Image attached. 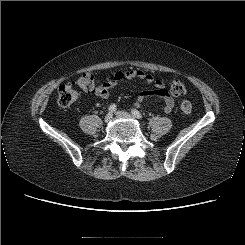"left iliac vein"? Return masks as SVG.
I'll return each instance as SVG.
<instances>
[{"label":"left iliac vein","mask_w":245,"mask_h":245,"mask_svg":"<svg viewBox=\"0 0 245 245\" xmlns=\"http://www.w3.org/2000/svg\"><path fill=\"white\" fill-rule=\"evenodd\" d=\"M116 115L119 117L132 118V115H130L129 113H127L125 111H117Z\"/></svg>","instance_id":"obj_1"}]
</instances>
